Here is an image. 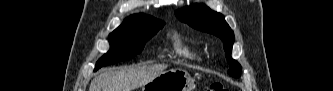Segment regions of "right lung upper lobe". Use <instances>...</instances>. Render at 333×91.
Returning <instances> with one entry per match:
<instances>
[{
	"instance_id": "obj_1",
	"label": "right lung upper lobe",
	"mask_w": 333,
	"mask_h": 91,
	"mask_svg": "<svg viewBox=\"0 0 333 91\" xmlns=\"http://www.w3.org/2000/svg\"><path fill=\"white\" fill-rule=\"evenodd\" d=\"M157 20L152 16H148L145 14H134L130 17L126 18L122 24L131 23V22H145V21H152Z\"/></svg>"
}]
</instances>
